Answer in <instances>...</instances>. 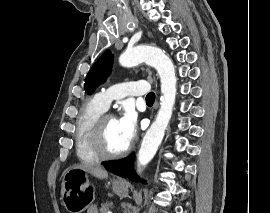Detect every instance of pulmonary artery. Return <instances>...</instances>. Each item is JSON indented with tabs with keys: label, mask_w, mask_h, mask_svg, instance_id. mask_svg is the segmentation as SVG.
<instances>
[{
	"label": "pulmonary artery",
	"mask_w": 270,
	"mask_h": 213,
	"mask_svg": "<svg viewBox=\"0 0 270 213\" xmlns=\"http://www.w3.org/2000/svg\"><path fill=\"white\" fill-rule=\"evenodd\" d=\"M148 90V84L145 81H125L100 91L94 98L106 110L113 100H120L126 96H142L147 94Z\"/></svg>",
	"instance_id": "obj_1"
}]
</instances>
